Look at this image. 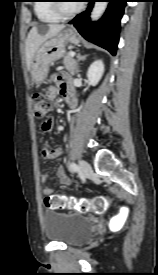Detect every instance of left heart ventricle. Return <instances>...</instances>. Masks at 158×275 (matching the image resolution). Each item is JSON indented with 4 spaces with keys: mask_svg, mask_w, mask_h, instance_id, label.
I'll return each instance as SVG.
<instances>
[{
    "mask_svg": "<svg viewBox=\"0 0 158 275\" xmlns=\"http://www.w3.org/2000/svg\"><path fill=\"white\" fill-rule=\"evenodd\" d=\"M67 2H73V1H67ZM78 5H79L78 3H63V6L67 11L75 9Z\"/></svg>",
    "mask_w": 158,
    "mask_h": 275,
    "instance_id": "b2bd125f",
    "label": "left heart ventricle"
}]
</instances>
